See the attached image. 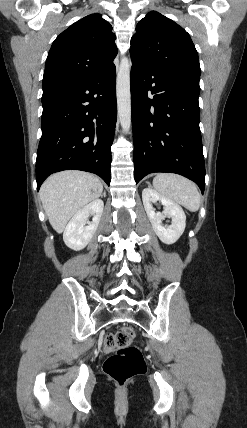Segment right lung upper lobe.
Masks as SVG:
<instances>
[{"label": "right lung upper lobe", "instance_id": "obj_1", "mask_svg": "<svg viewBox=\"0 0 247 428\" xmlns=\"http://www.w3.org/2000/svg\"><path fill=\"white\" fill-rule=\"evenodd\" d=\"M112 26L88 15L63 31L49 51L43 91L78 84L113 64L117 54Z\"/></svg>", "mask_w": 247, "mask_h": 428}]
</instances>
